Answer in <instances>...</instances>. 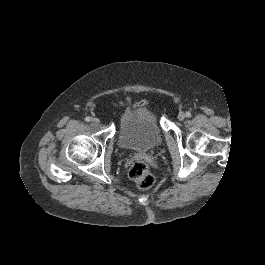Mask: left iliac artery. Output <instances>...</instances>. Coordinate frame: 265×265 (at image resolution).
<instances>
[{
    "instance_id": "1",
    "label": "left iliac artery",
    "mask_w": 265,
    "mask_h": 265,
    "mask_svg": "<svg viewBox=\"0 0 265 265\" xmlns=\"http://www.w3.org/2000/svg\"><path fill=\"white\" fill-rule=\"evenodd\" d=\"M186 117L190 118L191 117V113L190 112H186Z\"/></svg>"
}]
</instances>
